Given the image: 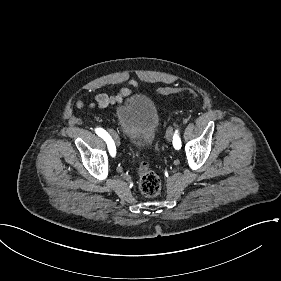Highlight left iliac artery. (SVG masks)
<instances>
[{"instance_id":"1","label":"left iliac artery","mask_w":281,"mask_h":281,"mask_svg":"<svg viewBox=\"0 0 281 281\" xmlns=\"http://www.w3.org/2000/svg\"><path fill=\"white\" fill-rule=\"evenodd\" d=\"M173 145H174L175 149H180L181 148V140L179 138L177 130L175 131V134L173 136Z\"/></svg>"}]
</instances>
